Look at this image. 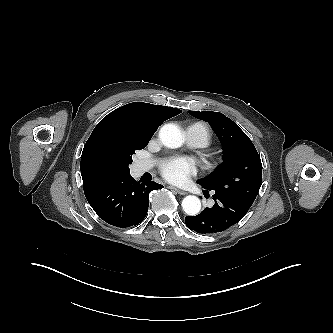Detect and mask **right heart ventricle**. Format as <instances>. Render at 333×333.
Here are the masks:
<instances>
[{"label": "right heart ventricle", "mask_w": 333, "mask_h": 333, "mask_svg": "<svg viewBox=\"0 0 333 333\" xmlns=\"http://www.w3.org/2000/svg\"><path fill=\"white\" fill-rule=\"evenodd\" d=\"M205 128H206V127H205ZM206 133H207V137H208V139H209V132H208L207 128H206Z\"/></svg>", "instance_id": "e07e8e85"}]
</instances>
